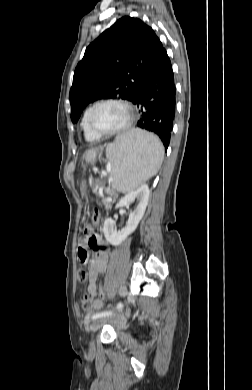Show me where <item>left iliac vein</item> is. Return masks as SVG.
Wrapping results in <instances>:
<instances>
[{
    "mask_svg": "<svg viewBox=\"0 0 252 390\" xmlns=\"http://www.w3.org/2000/svg\"><path fill=\"white\" fill-rule=\"evenodd\" d=\"M126 292V287L125 286H122L120 289H119V294L120 295H123L124 293ZM122 314V310H118L117 312H115L114 314H111V315H108V316H105V317H102V318H97L95 319L91 326H90V331H91V334H92V337L93 335L95 334V332L109 319L111 318H114V319H117L121 316ZM90 349L93 351L94 350V341L92 339L91 343H90Z\"/></svg>",
    "mask_w": 252,
    "mask_h": 390,
    "instance_id": "4c4485c4",
    "label": "left iliac vein"
}]
</instances>
